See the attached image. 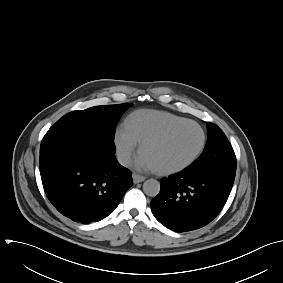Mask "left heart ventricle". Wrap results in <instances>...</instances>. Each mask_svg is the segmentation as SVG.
Returning <instances> with one entry per match:
<instances>
[{"label": "left heart ventricle", "mask_w": 283, "mask_h": 283, "mask_svg": "<svg viewBox=\"0 0 283 283\" xmlns=\"http://www.w3.org/2000/svg\"><path fill=\"white\" fill-rule=\"evenodd\" d=\"M201 141L199 130L193 125H183L161 141L148 144L143 152L157 169L182 164L197 150Z\"/></svg>", "instance_id": "1"}]
</instances>
